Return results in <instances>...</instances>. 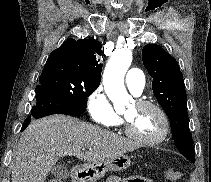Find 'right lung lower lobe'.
<instances>
[{"label": "right lung lower lobe", "mask_w": 211, "mask_h": 182, "mask_svg": "<svg viewBox=\"0 0 211 182\" xmlns=\"http://www.w3.org/2000/svg\"><path fill=\"white\" fill-rule=\"evenodd\" d=\"M36 105L32 107L31 115L26 118L21 131H24L30 124L32 118H41L52 114H67L79 116L83 112L78 111L69 103L47 93H36Z\"/></svg>", "instance_id": "right-lung-lower-lobe-1"}]
</instances>
